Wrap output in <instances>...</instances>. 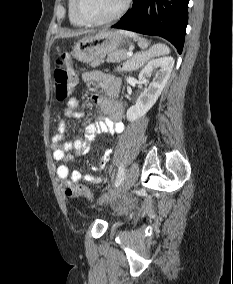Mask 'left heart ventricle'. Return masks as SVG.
<instances>
[{"label":"left heart ventricle","instance_id":"b2bd125f","mask_svg":"<svg viewBox=\"0 0 233 284\" xmlns=\"http://www.w3.org/2000/svg\"><path fill=\"white\" fill-rule=\"evenodd\" d=\"M123 0H82V10L91 19H105L113 15Z\"/></svg>","mask_w":233,"mask_h":284}]
</instances>
